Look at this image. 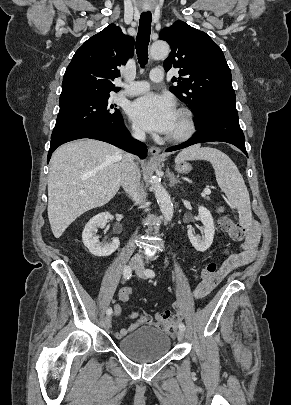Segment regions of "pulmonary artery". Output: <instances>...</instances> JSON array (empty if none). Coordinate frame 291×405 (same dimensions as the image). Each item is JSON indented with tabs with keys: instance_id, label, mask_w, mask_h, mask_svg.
<instances>
[{
	"instance_id": "obj_1",
	"label": "pulmonary artery",
	"mask_w": 291,
	"mask_h": 405,
	"mask_svg": "<svg viewBox=\"0 0 291 405\" xmlns=\"http://www.w3.org/2000/svg\"><path fill=\"white\" fill-rule=\"evenodd\" d=\"M164 73L161 69H153L150 72V80L158 83L163 81ZM150 88V84L147 81H134L127 85H124V89L119 92V95L135 96L146 92Z\"/></svg>"
}]
</instances>
